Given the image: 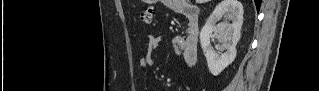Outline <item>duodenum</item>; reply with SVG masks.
<instances>
[{
	"instance_id": "1",
	"label": "duodenum",
	"mask_w": 319,
	"mask_h": 91,
	"mask_svg": "<svg viewBox=\"0 0 319 91\" xmlns=\"http://www.w3.org/2000/svg\"><path fill=\"white\" fill-rule=\"evenodd\" d=\"M182 13L188 19L189 26L188 34L184 42L182 57L187 66H193L198 58L199 9L188 4L183 9Z\"/></svg>"
}]
</instances>
